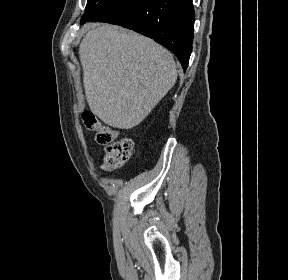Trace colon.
I'll use <instances>...</instances> for the list:
<instances>
[{
	"instance_id": "1",
	"label": "colon",
	"mask_w": 288,
	"mask_h": 280,
	"mask_svg": "<svg viewBox=\"0 0 288 280\" xmlns=\"http://www.w3.org/2000/svg\"><path fill=\"white\" fill-rule=\"evenodd\" d=\"M82 119L87 129L95 133L96 141L104 146L102 169L113 171L123 166L130 158L133 140L120 136L116 129L103 124L91 112H84Z\"/></svg>"
}]
</instances>
